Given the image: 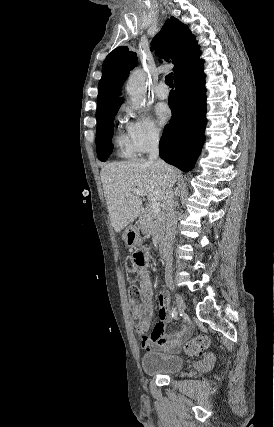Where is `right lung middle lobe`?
I'll return each instance as SVG.
<instances>
[{
    "instance_id": "right-lung-middle-lobe-1",
    "label": "right lung middle lobe",
    "mask_w": 274,
    "mask_h": 427,
    "mask_svg": "<svg viewBox=\"0 0 274 427\" xmlns=\"http://www.w3.org/2000/svg\"><path fill=\"white\" fill-rule=\"evenodd\" d=\"M122 101L96 113L97 130H96V148L98 158L106 161L112 152L111 138L113 134L112 121L116 115Z\"/></svg>"
}]
</instances>
